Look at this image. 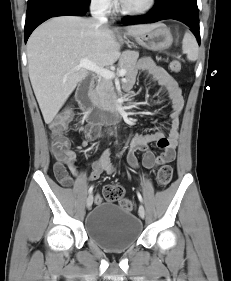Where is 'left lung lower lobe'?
I'll return each mask as SVG.
<instances>
[{
	"label": "left lung lower lobe",
	"mask_w": 231,
	"mask_h": 281,
	"mask_svg": "<svg viewBox=\"0 0 231 281\" xmlns=\"http://www.w3.org/2000/svg\"><path fill=\"white\" fill-rule=\"evenodd\" d=\"M164 19H174L189 26L200 44L199 12L196 0H158L157 5L144 17L127 16L124 25L153 23Z\"/></svg>",
	"instance_id": "obj_1"
}]
</instances>
